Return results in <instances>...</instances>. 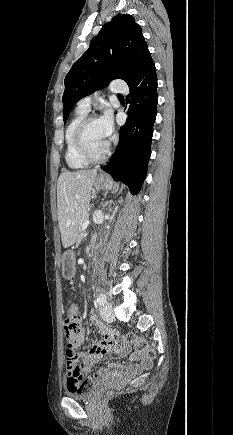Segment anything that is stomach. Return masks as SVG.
Listing matches in <instances>:
<instances>
[{"mask_svg":"<svg viewBox=\"0 0 233 435\" xmlns=\"http://www.w3.org/2000/svg\"><path fill=\"white\" fill-rule=\"evenodd\" d=\"M94 185L97 189H109L112 187V181L106 174H100L95 178ZM76 273L75 254L67 250L62 255V276L65 279H72Z\"/></svg>","mask_w":233,"mask_h":435,"instance_id":"stomach-1","label":"stomach"}]
</instances>
